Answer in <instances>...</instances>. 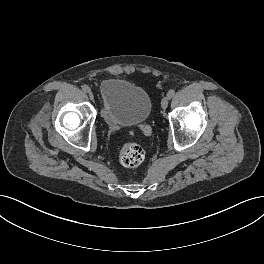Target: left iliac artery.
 <instances>
[{"mask_svg":"<svg viewBox=\"0 0 264 264\" xmlns=\"http://www.w3.org/2000/svg\"><path fill=\"white\" fill-rule=\"evenodd\" d=\"M175 95V90L171 89L168 91L167 96L168 98H172Z\"/></svg>","mask_w":264,"mask_h":264,"instance_id":"1","label":"left iliac artery"}]
</instances>
